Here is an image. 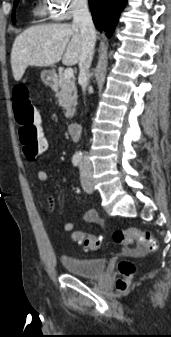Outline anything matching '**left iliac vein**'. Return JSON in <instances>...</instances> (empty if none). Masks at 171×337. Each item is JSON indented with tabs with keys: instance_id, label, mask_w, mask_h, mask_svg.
<instances>
[{
	"instance_id": "left-iliac-vein-1",
	"label": "left iliac vein",
	"mask_w": 171,
	"mask_h": 337,
	"mask_svg": "<svg viewBox=\"0 0 171 337\" xmlns=\"http://www.w3.org/2000/svg\"><path fill=\"white\" fill-rule=\"evenodd\" d=\"M81 184L85 192H93L92 171L89 167H84L81 169Z\"/></svg>"
}]
</instances>
